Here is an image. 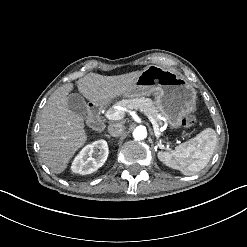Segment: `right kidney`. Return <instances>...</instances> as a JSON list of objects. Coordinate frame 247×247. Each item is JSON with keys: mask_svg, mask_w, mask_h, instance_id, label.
<instances>
[{"mask_svg": "<svg viewBox=\"0 0 247 247\" xmlns=\"http://www.w3.org/2000/svg\"><path fill=\"white\" fill-rule=\"evenodd\" d=\"M94 154L95 158H92ZM108 144L104 139H98L86 144L72 160L70 170L73 173L87 175L97 171L108 158Z\"/></svg>", "mask_w": 247, "mask_h": 247, "instance_id": "1", "label": "right kidney"}]
</instances>
